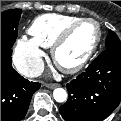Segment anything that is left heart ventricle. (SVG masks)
I'll return each instance as SVG.
<instances>
[{
    "label": "left heart ventricle",
    "mask_w": 121,
    "mask_h": 121,
    "mask_svg": "<svg viewBox=\"0 0 121 121\" xmlns=\"http://www.w3.org/2000/svg\"><path fill=\"white\" fill-rule=\"evenodd\" d=\"M97 37V28L93 23L80 25L58 50V60L63 65L79 62L91 49Z\"/></svg>",
    "instance_id": "b2bd125f"
}]
</instances>
